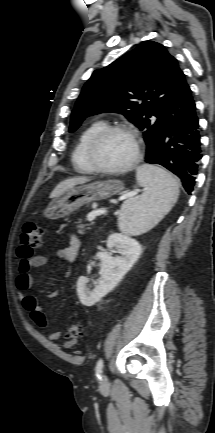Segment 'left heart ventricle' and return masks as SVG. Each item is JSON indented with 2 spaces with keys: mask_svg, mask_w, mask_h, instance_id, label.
Returning a JSON list of instances; mask_svg holds the SVG:
<instances>
[{
  "mask_svg": "<svg viewBox=\"0 0 215 433\" xmlns=\"http://www.w3.org/2000/svg\"><path fill=\"white\" fill-rule=\"evenodd\" d=\"M135 146L130 137L122 133H112L103 138L96 147V162L106 168H119L133 157Z\"/></svg>",
  "mask_w": 215,
  "mask_h": 433,
  "instance_id": "1",
  "label": "left heart ventricle"
}]
</instances>
